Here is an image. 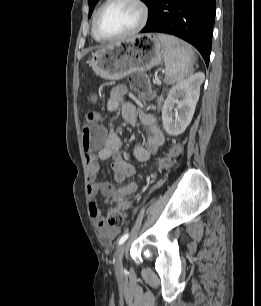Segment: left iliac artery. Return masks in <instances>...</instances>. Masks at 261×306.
<instances>
[{
  "label": "left iliac artery",
  "instance_id": "44dca946",
  "mask_svg": "<svg viewBox=\"0 0 261 306\" xmlns=\"http://www.w3.org/2000/svg\"><path fill=\"white\" fill-rule=\"evenodd\" d=\"M128 237H129V234H128V233L124 234V235L119 239L118 245L123 244V243L128 239Z\"/></svg>",
  "mask_w": 261,
  "mask_h": 306
}]
</instances>
